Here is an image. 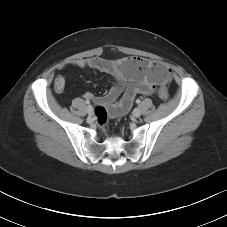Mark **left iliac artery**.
Listing matches in <instances>:
<instances>
[{"label":"left iliac artery","instance_id":"left-iliac-artery-1","mask_svg":"<svg viewBox=\"0 0 227 227\" xmlns=\"http://www.w3.org/2000/svg\"><path fill=\"white\" fill-rule=\"evenodd\" d=\"M136 103L139 104V103H140V99H137V100H136Z\"/></svg>","mask_w":227,"mask_h":227}]
</instances>
